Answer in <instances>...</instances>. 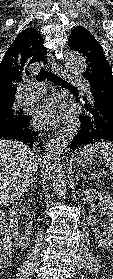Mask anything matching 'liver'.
<instances>
[{
  "label": "liver",
  "instance_id": "1",
  "mask_svg": "<svg viewBox=\"0 0 113 279\" xmlns=\"http://www.w3.org/2000/svg\"><path fill=\"white\" fill-rule=\"evenodd\" d=\"M39 157L25 144L0 140V206L18 200L32 184Z\"/></svg>",
  "mask_w": 113,
  "mask_h": 279
}]
</instances>
